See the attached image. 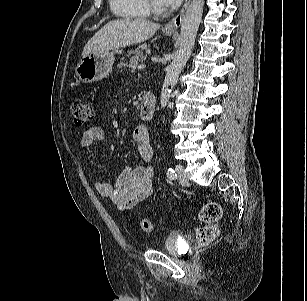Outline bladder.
Segmentation results:
<instances>
[{
    "mask_svg": "<svg viewBox=\"0 0 307 301\" xmlns=\"http://www.w3.org/2000/svg\"><path fill=\"white\" fill-rule=\"evenodd\" d=\"M161 249L171 255H177L180 252L178 235L175 233L169 234L162 242Z\"/></svg>",
    "mask_w": 307,
    "mask_h": 301,
    "instance_id": "31cf9c89",
    "label": "bladder"
}]
</instances>
